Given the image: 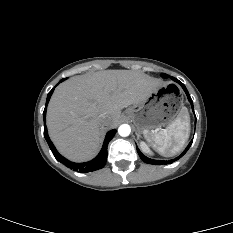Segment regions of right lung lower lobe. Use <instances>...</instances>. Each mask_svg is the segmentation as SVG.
I'll return each instance as SVG.
<instances>
[{
    "label": "right lung lower lobe",
    "instance_id": "obj_1",
    "mask_svg": "<svg viewBox=\"0 0 233 233\" xmlns=\"http://www.w3.org/2000/svg\"><path fill=\"white\" fill-rule=\"evenodd\" d=\"M64 79H62L60 82H62ZM54 91V88L48 93L47 95V100H46V106L43 112V117H44V123L46 122L45 117H46V110H47V104L50 100V97L52 95ZM116 133V130L113 129L111 131H109L105 137L104 140V144L103 147L100 151V153L96 156V158H94L93 160L89 161V162H85V163H73L70 162L69 160H67L66 158H64L63 156H61L56 148L54 147L53 143L51 142L49 136H48V132H47V127L44 124V136L45 139L54 155V157L61 163H63L66 167H69L75 171L78 172H92L98 169H101L102 167H104V165L106 164V160H107V146L109 141L114 137Z\"/></svg>",
    "mask_w": 233,
    "mask_h": 233
}]
</instances>
